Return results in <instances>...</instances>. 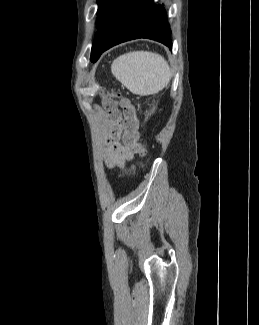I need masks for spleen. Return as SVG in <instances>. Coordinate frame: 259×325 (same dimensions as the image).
Masks as SVG:
<instances>
[{"label": "spleen", "mask_w": 259, "mask_h": 325, "mask_svg": "<svg viewBox=\"0 0 259 325\" xmlns=\"http://www.w3.org/2000/svg\"><path fill=\"white\" fill-rule=\"evenodd\" d=\"M112 74L136 95L156 94L168 85L171 71L167 61L150 51H133L116 58Z\"/></svg>", "instance_id": "3e777b00"}]
</instances>
